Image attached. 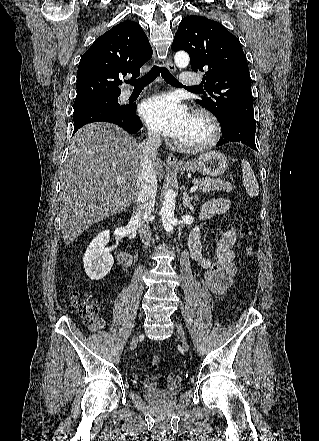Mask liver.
Segmentation results:
<instances>
[{
  "label": "liver",
  "mask_w": 319,
  "mask_h": 441,
  "mask_svg": "<svg viewBox=\"0 0 319 441\" xmlns=\"http://www.w3.org/2000/svg\"><path fill=\"white\" fill-rule=\"evenodd\" d=\"M140 144L125 130L106 122L80 128L72 137L61 168L60 213L65 245L89 226L128 208L139 191ZM156 178L164 175L160 159ZM123 182H118L117 177Z\"/></svg>",
  "instance_id": "obj_1"
}]
</instances>
